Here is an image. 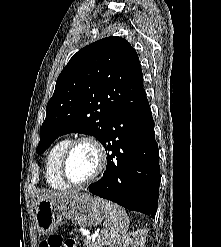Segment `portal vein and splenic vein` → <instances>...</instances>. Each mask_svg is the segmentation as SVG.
Instances as JSON below:
<instances>
[{"mask_svg":"<svg viewBox=\"0 0 221 247\" xmlns=\"http://www.w3.org/2000/svg\"><path fill=\"white\" fill-rule=\"evenodd\" d=\"M86 236H87V238H90V232H86Z\"/></svg>","mask_w":221,"mask_h":247,"instance_id":"obj_1","label":"portal vein and splenic vein"}]
</instances>
